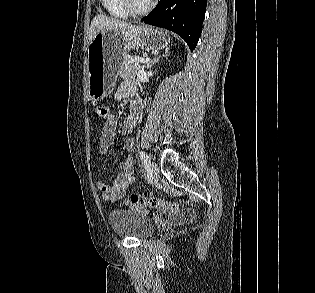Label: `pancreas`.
I'll return each mask as SVG.
<instances>
[{"label": "pancreas", "mask_w": 315, "mask_h": 293, "mask_svg": "<svg viewBox=\"0 0 315 293\" xmlns=\"http://www.w3.org/2000/svg\"><path fill=\"white\" fill-rule=\"evenodd\" d=\"M133 56H124L119 70V76L122 79H135L141 65L133 61Z\"/></svg>", "instance_id": "pancreas-1"}]
</instances>
